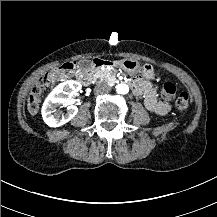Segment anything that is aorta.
Returning a JSON list of instances; mask_svg holds the SVG:
<instances>
[{
  "mask_svg": "<svg viewBox=\"0 0 217 217\" xmlns=\"http://www.w3.org/2000/svg\"><path fill=\"white\" fill-rule=\"evenodd\" d=\"M116 91L118 94H127L129 92V86L127 84H118L116 86Z\"/></svg>",
  "mask_w": 217,
  "mask_h": 217,
  "instance_id": "762f6f07",
  "label": "aorta"
}]
</instances>
